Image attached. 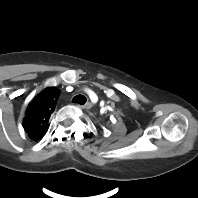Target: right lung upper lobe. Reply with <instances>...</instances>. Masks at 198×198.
Here are the masks:
<instances>
[{"label":"right lung upper lobe","instance_id":"1","mask_svg":"<svg viewBox=\"0 0 198 198\" xmlns=\"http://www.w3.org/2000/svg\"><path fill=\"white\" fill-rule=\"evenodd\" d=\"M60 92L56 87H48L28 105L23 128L31 139L38 140L46 133L49 118L55 110Z\"/></svg>","mask_w":198,"mask_h":198}]
</instances>
